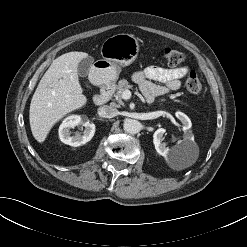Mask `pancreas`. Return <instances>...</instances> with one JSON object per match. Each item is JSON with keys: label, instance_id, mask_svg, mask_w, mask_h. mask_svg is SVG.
Instances as JSON below:
<instances>
[{"label": "pancreas", "instance_id": "obj_1", "mask_svg": "<svg viewBox=\"0 0 247 247\" xmlns=\"http://www.w3.org/2000/svg\"><path fill=\"white\" fill-rule=\"evenodd\" d=\"M133 86L128 83L126 79H122L118 82V84L115 86L114 90V97L115 100L118 102L119 105H124L122 101V92L126 89H131Z\"/></svg>", "mask_w": 247, "mask_h": 247}]
</instances>
